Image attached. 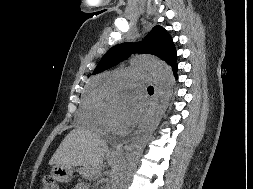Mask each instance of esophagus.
Returning a JSON list of instances; mask_svg holds the SVG:
<instances>
[{
  "mask_svg": "<svg viewBox=\"0 0 253 189\" xmlns=\"http://www.w3.org/2000/svg\"><path fill=\"white\" fill-rule=\"evenodd\" d=\"M154 84L156 85V91H157V82H156V80H154ZM156 91H155L154 98H156V93H157ZM128 142H129V139L123 141L122 143H120V144H118V145H116V146H114V147L111 149V154H112V155H118V156L122 155L123 152H124V150H125L126 147H127Z\"/></svg>",
  "mask_w": 253,
  "mask_h": 189,
  "instance_id": "34e87169",
  "label": "esophagus"
}]
</instances>
